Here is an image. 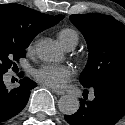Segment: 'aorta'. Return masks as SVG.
Masks as SVG:
<instances>
[{
	"label": "aorta",
	"instance_id": "1",
	"mask_svg": "<svg viewBox=\"0 0 125 125\" xmlns=\"http://www.w3.org/2000/svg\"><path fill=\"white\" fill-rule=\"evenodd\" d=\"M36 54L45 62H54L61 58V51L54 41L44 39L36 44ZM59 110L65 115H72L79 108V100L72 95H64L58 101Z\"/></svg>",
	"mask_w": 125,
	"mask_h": 125
}]
</instances>
